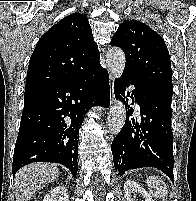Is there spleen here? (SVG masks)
<instances>
[{
    "label": "spleen",
    "mask_w": 196,
    "mask_h": 201,
    "mask_svg": "<svg viewBox=\"0 0 196 201\" xmlns=\"http://www.w3.org/2000/svg\"><path fill=\"white\" fill-rule=\"evenodd\" d=\"M150 194L155 197V198H160L162 201H166V195H167V186L164 184V182L155 176H151L149 179L146 181Z\"/></svg>",
    "instance_id": "3e777b00"
}]
</instances>
